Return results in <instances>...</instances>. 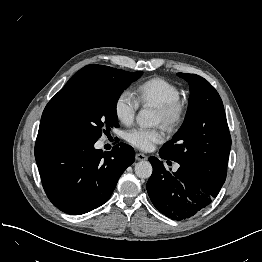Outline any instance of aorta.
I'll list each match as a JSON object with an SVG mask.
<instances>
[{
  "label": "aorta",
  "instance_id": "obj_1",
  "mask_svg": "<svg viewBox=\"0 0 262 262\" xmlns=\"http://www.w3.org/2000/svg\"><path fill=\"white\" fill-rule=\"evenodd\" d=\"M136 121L141 127H149L156 124L157 118L153 110L142 109L138 112ZM135 174L142 179L149 178L152 174V165L148 161H140L136 163Z\"/></svg>",
  "mask_w": 262,
  "mask_h": 262
}]
</instances>
